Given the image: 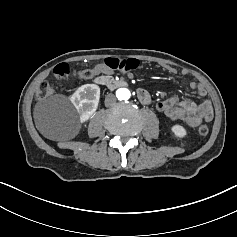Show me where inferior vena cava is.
<instances>
[{
  "label": "inferior vena cava",
  "mask_w": 237,
  "mask_h": 237,
  "mask_svg": "<svg viewBox=\"0 0 237 237\" xmlns=\"http://www.w3.org/2000/svg\"><path fill=\"white\" fill-rule=\"evenodd\" d=\"M116 102V96L114 94H108L105 98V105L109 106Z\"/></svg>",
  "instance_id": "1"
}]
</instances>
